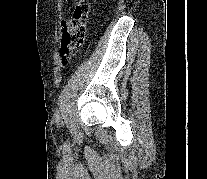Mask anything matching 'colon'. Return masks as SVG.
<instances>
[{"label": "colon", "instance_id": "obj_1", "mask_svg": "<svg viewBox=\"0 0 207 179\" xmlns=\"http://www.w3.org/2000/svg\"><path fill=\"white\" fill-rule=\"evenodd\" d=\"M74 3L72 18L63 23L61 40L62 62L66 64L73 48L81 47L86 39V20L90 6L84 0H71Z\"/></svg>", "mask_w": 207, "mask_h": 179}]
</instances>
